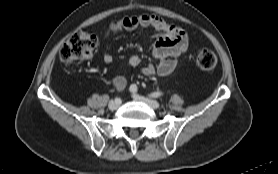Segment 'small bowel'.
Wrapping results in <instances>:
<instances>
[{
  "mask_svg": "<svg viewBox=\"0 0 278 174\" xmlns=\"http://www.w3.org/2000/svg\"><path fill=\"white\" fill-rule=\"evenodd\" d=\"M138 27H151L160 33V37L154 44L152 55L158 61L157 65L147 64L141 66L142 58L133 54L129 58V64L133 67H140L143 74L151 76H167L171 74L178 65L179 57L188 47L186 32L179 26L170 24L164 19L153 14H141L137 16H124L111 22L105 30L104 37L116 35L123 30H133ZM102 59L106 63L112 61V55L108 51L102 53ZM117 90H123L126 79L117 76L112 80Z\"/></svg>",
  "mask_w": 278,
  "mask_h": 174,
  "instance_id": "obj_1",
  "label": "small bowel"
}]
</instances>
